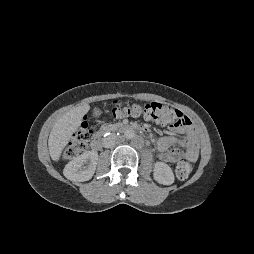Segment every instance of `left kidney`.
<instances>
[{"instance_id":"5707ae66","label":"left kidney","mask_w":254,"mask_h":254,"mask_svg":"<svg viewBox=\"0 0 254 254\" xmlns=\"http://www.w3.org/2000/svg\"><path fill=\"white\" fill-rule=\"evenodd\" d=\"M154 179L163 185H171L174 182L172 169L163 162H156L154 165Z\"/></svg>"}]
</instances>
